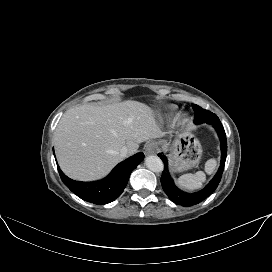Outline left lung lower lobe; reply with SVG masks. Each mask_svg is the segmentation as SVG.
<instances>
[{"label":"left lung lower lobe","instance_id":"0a47b994","mask_svg":"<svg viewBox=\"0 0 272 272\" xmlns=\"http://www.w3.org/2000/svg\"><path fill=\"white\" fill-rule=\"evenodd\" d=\"M206 123L213 125V127L216 129L218 136L220 138L221 163H220L218 172L215 174L213 179L207 184V186L201 191L189 194L178 189L175 186L168 172V160L166 156L161 153L158 154V156L162 159L165 165V169L161 176V184H162L163 190L165 191V193L167 194V196L170 198L171 201L185 207L198 204L202 202L203 200H205L208 196H210L217 188L221 180L223 170H224V165H225V160L227 155V139H226L224 128L218 117L208 120L206 121Z\"/></svg>","mask_w":272,"mask_h":272}]
</instances>
